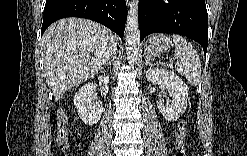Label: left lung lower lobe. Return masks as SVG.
Wrapping results in <instances>:
<instances>
[{"label": "left lung lower lobe", "instance_id": "1", "mask_svg": "<svg viewBox=\"0 0 247 156\" xmlns=\"http://www.w3.org/2000/svg\"><path fill=\"white\" fill-rule=\"evenodd\" d=\"M140 40L152 33H177L198 42L206 54L208 14L205 0H140Z\"/></svg>", "mask_w": 247, "mask_h": 156}]
</instances>
